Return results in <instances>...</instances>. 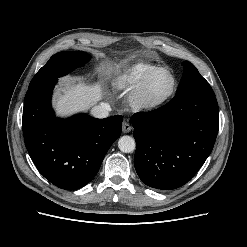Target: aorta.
Here are the masks:
<instances>
[{
	"label": "aorta",
	"mask_w": 247,
	"mask_h": 247,
	"mask_svg": "<svg viewBox=\"0 0 247 247\" xmlns=\"http://www.w3.org/2000/svg\"><path fill=\"white\" fill-rule=\"evenodd\" d=\"M136 143L133 137L131 136H122L118 140V148L124 153H131L135 150Z\"/></svg>",
	"instance_id": "1"
}]
</instances>
